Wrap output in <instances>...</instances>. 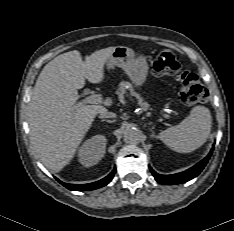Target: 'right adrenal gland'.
Returning a JSON list of instances; mask_svg holds the SVG:
<instances>
[{"label":"right adrenal gland","mask_w":234,"mask_h":231,"mask_svg":"<svg viewBox=\"0 0 234 231\" xmlns=\"http://www.w3.org/2000/svg\"><path fill=\"white\" fill-rule=\"evenodd\" d=\"M101 122L113 123V122H114V120H106V119H103V120H101Z\"/></svg>","instance_id":"1"}]
</instances>
